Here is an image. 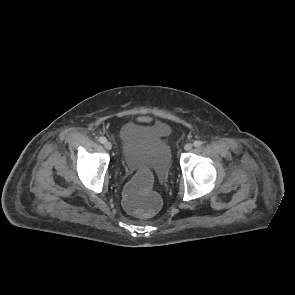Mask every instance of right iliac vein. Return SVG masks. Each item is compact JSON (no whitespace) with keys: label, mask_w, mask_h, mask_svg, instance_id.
Segmentation results:
<instances>
[{"label":"right iliac vein","mask_w":295,"mask_h":295,"mask_svg":"<svg viewBox=\"0 0 295 295\" xmlns=\"http://www.w3.org/2000/svg\"><path fill=\"white\" fill-rule=\"evenodd\" d=\"M104 146H105V148H106L107 150H111V148H112V144H111V142H109V141H106V142L104 143Z\"/></svg>","instance_id":"right-iliac-vein-1"}]
</instances>
